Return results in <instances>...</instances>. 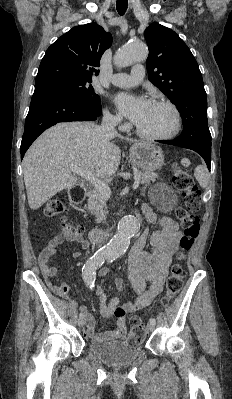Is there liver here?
<instances>
[{"instance_id":"1","label":"liver","mask_w":232,"mask_h":399,"mask_svg":"<svg viewBox=\"0 0 232 399\" xmlns=\"http://www.w3.org/2000/svg\"><path fill=\"white\" fill-rule=\"evenodd\" d=\"M115 136L92 122L57 124L43 132L26 152L22 164L29 207L37 209L57 192L77 186L71 164L96 178L113 176L121 158L120 148L111 142Z\"/></svg>"}]
</instances>
